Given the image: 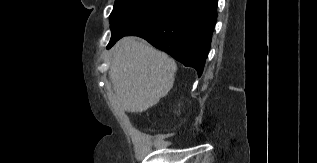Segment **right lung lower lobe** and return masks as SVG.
<instances>
[{
    "instance_id": "obj_1",
    "label": "right lung lower lobe",
    "mask_w": 317,
    "mask_h": 163,
    "mask_svg": "<svg viewBox=\"0 0 317 163\" xmlns=\"http://www.w3.org/2000/svg\"><path fill=\"white\" fill-rule=\"evenodd\" d=\"M217 2L218 0H174L156 18L126 35L146 39L183 65L195 68L200 76L217 18ZM117 40L110 42L107 49Z\"/></svg>"
}]
</instances>
